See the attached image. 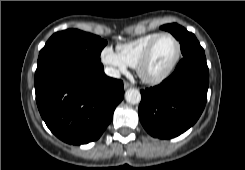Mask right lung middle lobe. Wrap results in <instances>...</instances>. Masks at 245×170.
Masks as SVG:
<instances>
[{
  "label": "right lung middle lobe",
  "mask_w": 245,
  "mask_h": 170,
  "mask_svg": "<svg viewBox=\"0 0 245 170\" xmlns=\"http://www.w3.org/2000/svg\"><path fill=\"white\" fill-rule=\"evenodd\" d=\"M106 44L99 36L77 29L57 32L39 53L35 79L56 64L67 60L100 63V53Z\"/></svg>",
  "instance_id": "1"
}]
</instances>
